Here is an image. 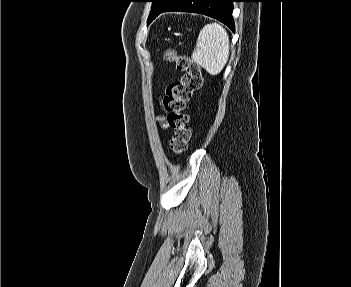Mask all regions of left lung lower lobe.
I'll use <instances>...</instances> for the list:
<instances>
[{
    "label": "left lung lower lobe",
    "mask_w": 351,
    "mask_h": 287,
    "mask_svg": "<svg viewBox=\"0 0 351 287\" xmlns=\"http://www.w3.org/2000/svg\"><path fill=\"white\" fill-rule=\"evenodd\" d=\"M233 2H236V0H173L158 12L153 19L162 12L168 11L199 13L221 21L234 31Z\"/></svg>",
    "instance_id": "obj_1"
}]
</instances>
